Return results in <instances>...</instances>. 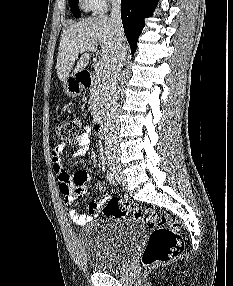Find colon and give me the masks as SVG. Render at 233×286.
I'll return each instance as SVG.
<instances>
[{"label": "colon", "mask_w": 233, "mask_h": 286, "mask_svg": "<svg viewBox=\"0 0 233 286\" xmlns=\"http://www.w3.org/2000/svg\"><path fill=\"white\" fill-rule=\"evenodd\" d=\"M81 121L78 118L57 123L55 135L64 143H72L79 137ZM109 218H133L141 220L152 232L142 254L144 267L151 268L175 259L184 248V238L180 233V223L169 216L159 215L152 209H141L136 205L110 198L102 207Z\"/></svg>", "instance_id": "1"}]
</instances>
